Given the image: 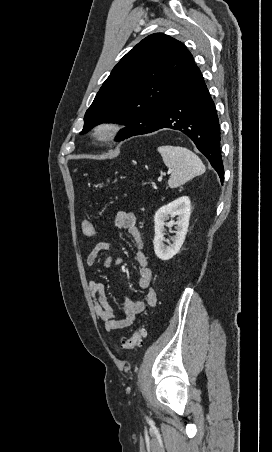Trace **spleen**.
<instances>
[{"label":"spleen","mask_w":272,"mask_h":452,"mask_svg":"<svg viewBox=\"0 0 272 452\" xmlns=\"http://www.w3.org/2000/svg\"><path fill=\"white\" fill-rule=\"evenodd\" d=\"M164 164L171 170L168 185L171 188L179 187L197 175L205 172L201 159L187 148L180 146H159Z\"/></svg>","instance_id":"3e777b00"}]
</instances>
